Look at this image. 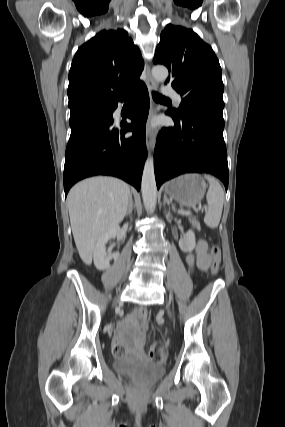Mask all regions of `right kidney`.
Wrapping results in <instances>:
<instances>
[{
	"mask_svg": "<svg viewBox=\"0 0 285 427\" xmlns=\"http://www.w3.org/2000/svg\"><path fill=\"white\" fill-rule=\"evenodd\" d=\"M118 233L119 227L113 228L98 240L93 252L94 265L98 270L108 269L110 267V260L114 259L116 261L119 258L118 253L107 256L105 247L106 243L111 238L116 237Z\"/></svg>",
	"mask_w": 285,
	"mask_h": 427,
	"instance_id": "ca27d5eb",
	"label": "right kidney"
}]
</instances>
